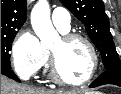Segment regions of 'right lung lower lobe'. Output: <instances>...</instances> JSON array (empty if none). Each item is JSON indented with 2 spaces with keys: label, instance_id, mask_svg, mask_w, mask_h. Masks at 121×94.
Masks as SVG:
<instances>
[{
  "label": "right lung lower lobe",
  "instance_id": "1",
  "mask_svg": "<svg viewBox=\"0 0 121 94\" xmlns=\"http://www.w3.org/2000/svg\"><path fill=\"white\" fill-rule=\"evenodd\" d=\"M1 74L20 82V80L18 79V77L14 74V72L11 69H7V68H1Z\"/></svg>",
  "mask_w": 121,
  "mask_h": 94
}]
</instances>
